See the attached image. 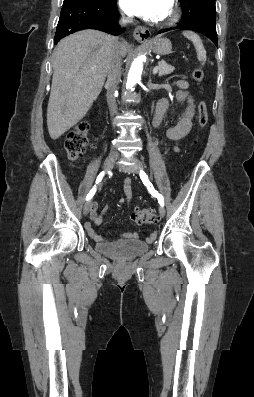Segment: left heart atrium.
<instances>
[{"label": "left heart atrium", "instance_id": "39dd6f15", "mask_svg": "<svg viewBox=\"0 0 254 397\" xmlns=\"http://www.w3.org/2000/svg\"><path fill=\"white\" fill-rule=\"evenodd\" d=\"M120 3L127 14L150 20L162 18L171 7V0H121Z\"/></svg>", "mask_w": 254, "mask_h": 397}]
</instances>
